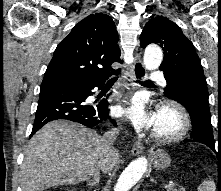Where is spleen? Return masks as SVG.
Returning <instances> with one entry per match:
<instances>
[{"mask_svg": "<svg viewBox=\"0 0 221 191\" xmlns=\"http://www.w3.org/2000/svg\"><path fill=\"white\" fill-rule=\"evenodd\" d=\"M215 190H216L215 183L210 178L208 180H204L198 187V191H215Z\"/></svg>", "mask_w": 221, "mask_h": 191, "instance_id": "1", "label": "spleen"}]
</instances>
